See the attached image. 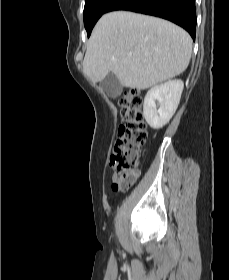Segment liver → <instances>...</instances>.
Here are the masks:
<instances>
[{"instance_id": "6515ba94", "label": "liver", "mask_w": 229, "mask_h": 280, "mask_svg": "<svg viewBox=\"0 0 229 280\" xmlns=\"http://www.w3.org/2000/svg\"><path fill=\"white\" fill-rule=\"evenodd\" d=\"M192 39L181 27L127 11L103 15L93 29L83 71L93 82L113 73L124 87L144 90L183 73Z\"/></svg>"}]
</instances>
